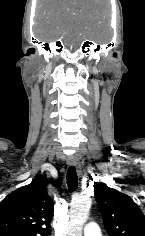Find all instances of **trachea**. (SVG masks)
<instances>
[{
  "label": "trachea",
  "instance_id": "trachea-1",
  "mask_svg": "<svg viewBox=\"0 0 145 236\" xmlns=\"http://www.w3.org/2000/svg\"><path fill=\"white\" fill-rule=\"evenodd\" d=\"M67 185L70 191H74L78 186V176L75 167H70L67 171Z\"/></svg>",
  "mask_w": 145,
  "mask_h": 236
}]
</instances>
